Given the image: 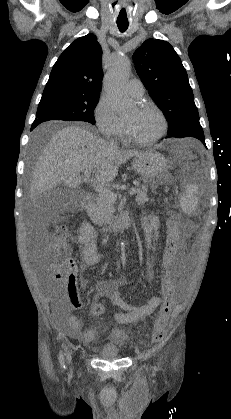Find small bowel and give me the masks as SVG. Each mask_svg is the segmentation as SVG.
<instances>
[{
  "instance_id": "small-bowel-1",
  "label": "small bowel",
  "mask_w": 231,
  "mask_h": 419,
  "mask_svg": "<svg viewBox=\"0 0 231 419\" xmlns=\"http://www.w3.org/2000/svg\"><path fill=\"white\" fill-rule=\"evenodd\" d=\"M141 225L146 248L149 252H152L155 249V240L158 236V217L154 214H150L148 217L141 220ZM77 242L83 251V259L80 265L81 272L83 273L89 267L100 262V256L95 243V231L89 223H84L80 226ZM172 264L173 262L170 264L164 263L167 270ZM82 280L85 281L84 278ZM96 290L98 298H108L122 310V312L114 314V321L119 325L130 324L151 315L162 302L161 297H153L140 305H131L121 297L117 290V285L110 280L99 281ZM66 293L71 306L75 309L81 308L82 302L77 293L76 285L74 288H68L66 286ZM97 305H99V303H95L93 308ZM60 328L70 337L78 339L86 344L95 341V331L93 329L82 330V321L76 316H70L63 320L60 323Z\"/></svg>"
}]
</instances>
